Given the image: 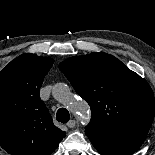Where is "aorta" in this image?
I'll use <instances>...</instances> for the list:
<instances>
[{"label":"aorta","instance_id":"obj_1","mask_svg":"<svg viewBox=\"0 0 155 155\" xmlns=\"http://www.w3.org/2000/svg\"><path fill=\"white\" fill-rule=\"evenodd\" d=\"M52 93L55 99L63 102L69 99L70 88L65 83H57L54 85ZM69 106L73 112L79 113L83 121L89 120L90 112L85 101H83L82 99H73Z\"/></svg>","mask_w":155,"mask_h":155}]
</instances>
